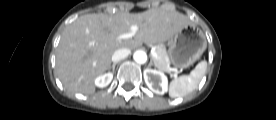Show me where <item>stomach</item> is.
<instances>
[{
  "label": "stomach",
  "mask_w": 276,
  "mask_h": 120,
  "mask_svg": "<svg viewBox=\"0 0 276 120\" xmlns=\"http://www.w3.org/2000/svg\"><path fill=\"white\" fill-rule=\"evenodd\" d=\"M207 47L205 34L195 25H188L172 38L168 49L171 64L186 69L197 61Z\"/></svg>",
  "instance_id": "obj_1"
}]
</instances>
